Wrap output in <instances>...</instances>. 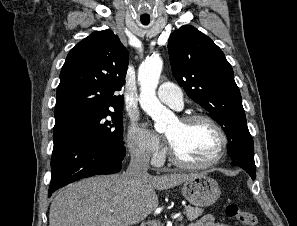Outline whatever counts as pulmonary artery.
Segmentation results:
<instances>
[{
  "mask_svg": "<svg viewBox=\"0 0 297 226\" xmlns=\"http://www.w3.org/2000/svg\"><path fill=\"white\" fill-rule=\"evenodd\" d=\"M157 95L162 103L175 109H180L183 105L182 90L171 82L161 83L158 87Z\"/></svg>",
  "mask_w": 297,
  "mask_h": 226,
  "instance_id": "pulmonary-artery-1",
  "label": "pulmonary artery"
}]
</instances>
